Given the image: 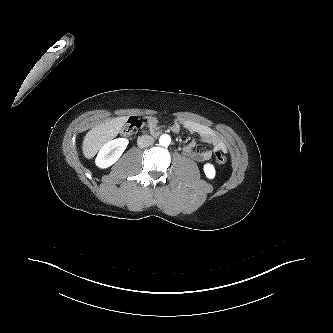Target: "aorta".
Instances as JSON below:
<instances>
[{
	"mask_svg": "<svg viewBox=\"0 0 333 333\" xmlns=\"http://www.w3.org/2000/svg\"><path fill=\"white\" fill-rule=\"evenodd\" d=\"M159 143L160 145L167 147L171 143V137L167 134H163L159 138Z\"/></svg>",
	"mask_w": 333,
	"mask_h": 333,
	"instance_id": "obj_1",
	"label": "aorta"
}]
</instances>
